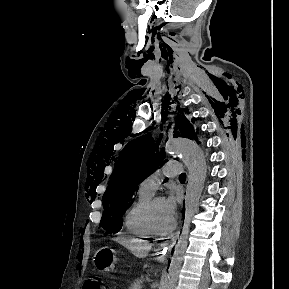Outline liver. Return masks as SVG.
<instances>
[{"label": "liver", "mask_w": 289, "mask_h": 289, "mask_svg": "<svg viewBox=\"0 0 289 289\" xmlns=\"http://www.w3.org/2000/svg\"><path fill=\"white\" fill-rule=\"evenodd\" d=\"M114 240L122 244L128 250H130L132 254L138 258L146 257L148 251L151 249V246L149 244L137 239L126 240L122 238H115Z\"/></svg>", "instance_id": "1"}]
</instances>
